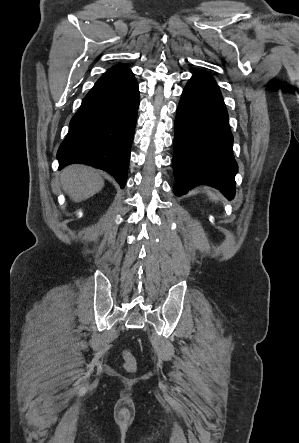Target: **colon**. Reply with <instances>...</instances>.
Returning a JSON list of instances; mask_svg holds the SVG:
<instances>
[{
	"label": "colon",
	"mask_w": 299,
	"mask_h": 443,
	"mask_svg": "<svg viewBox=\"0 0 299 443\" xmlns=\"http://www.w3.org/2000/svg\"><path fill=\"white\" fill-rule=\"evenodd\" d=\"M124 367L128 372H134L136 370V360L127 351L124 353Z\"/></svg>",
	"instance_id": "1"
}]
</instances>
